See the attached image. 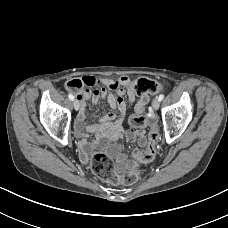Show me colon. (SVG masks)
<instances>
[{
	"mask_svg": "<svg viewBox=\"0 0 228 228\" xmlns=\"http://www.w3.org/2000/svg\"><path fill=\"white\" fill-rule=\"evenodd\" d=\"M134 90L138 95L156 94L161 90V85L149 78H139L132 82ZM67 89L78 93L83 90L84 83L80 79H73L66 83ZM131 126L136 128L149 127L146 144L142 151L133 152V157L140 163H146L154 159L159 134L155 123L142 114H133L129 120ZM93 172L102 180L112 184L133 185L140 178V170L131 167L123 174H118L115 170L113 160L103 152H96L91 159Z\"/></svg>",
	"mask_w": 228,
	"mask_h": 228,
	"instance_id": "colon-1",
	"label": "colon"
}]
</instances>
